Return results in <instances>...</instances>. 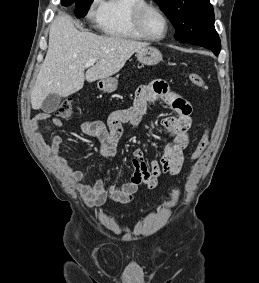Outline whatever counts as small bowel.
I'll return each mask as SVG.
<instances>
[{"label": "small bowel", "mask_w": 259, "mask_h": 283, "mask_svg": "<svg viewBox=\"0 0 259 283\" xmlns=\"http://www.w3.org/2000/svg\"><path fill=\"white\" fill-rule=\"evenodd\" d=\"M157 101H162L175 112L174 116L165 117L161 121L162 127L169 133L171 139L165 146L161 159L152 161L149 166L144 160L143 150L134 149L133 164L135 170L129 181L121 186L107 185L102 179H97L93 184L83 183L85 173L68 164L65 154L61 151L62 137L55 135L50 143H44L40 124L43 121L50 120L54 126H61L60 119L54 117L51 113L42 112L35 115L30 121V130L35 139L51 155L55 164L64 172L69 184L88 205H101L107 199L128 203L140 187L144 186L149 190L154 189L157 186L158 179L163 174L175 176L181 171L184 162V150L189 143L188 130L192 124L190 103L172 93L164 81L156 80L149 85L140 86L136 90L135 100L131 108L114 111L107 122L85 121L81 125L84 134L100 141V155L107 162H111L116 157V147L122 136V124L130 123L137 126L146 113L148 104Z\"/></svg>", "instance_id": "1"}]
</instances>
